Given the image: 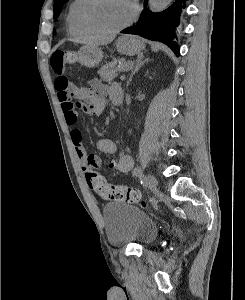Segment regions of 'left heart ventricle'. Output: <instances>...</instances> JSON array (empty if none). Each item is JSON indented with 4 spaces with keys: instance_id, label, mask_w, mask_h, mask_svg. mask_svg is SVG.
Instances as JSON below:
<instances>
[{
    "instance_id": "b2bd125f",
    "label": "left heart ventricle",
    "mask_w": 245,
    "mask_h": 300,
    "mask_svg": "<svg viewBox=\"0 0 245 300\" xmlns=\"http://www.w3.org/2000/svg\"><path fill=\"white\" fill-rule=\"evenodd\" d=\"M132 7L128 0H95L90 7V23L100 29L110 30L128 21Z\"/></svg>"
}]
</instances>
